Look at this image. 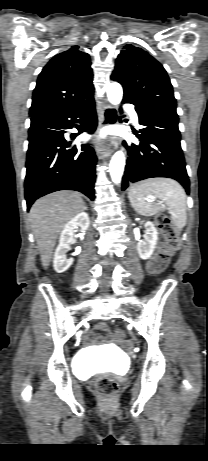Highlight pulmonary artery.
<instances>
[{
    "label": "pulmonary artery",
    "mask_w": 208,
    "mask_h": 461,
    "mask_svg": "<svg viewBox=\"0 0 208 461\" xmlns=\"http://www.w3.org/2000/svg\"><path fill=\"white\" fill-rule=\"evenodd\" d=\"M127 110H128V111L130 112V114H131V118H132L133 123H134L135 125H138V116H137L136 112L133 110L132 107H129Z\"/></svg>",
    "instance_id": "1"
}]
</instances>
